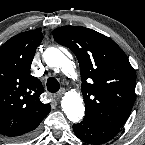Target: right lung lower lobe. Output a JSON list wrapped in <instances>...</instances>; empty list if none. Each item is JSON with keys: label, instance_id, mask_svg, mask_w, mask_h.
<instances>
[{"label": "right lung lower lobe", "instance_id": "98d812e1", "mask_svg": "<svg viewBox=\"0 0 145 145\" xmlns=\"http://www.w3.org/2000/svg\"><path fill=\"white\" fill-rule=\"evenodd\" d=\"M34 132H35V131L33 130L32 132L27 133V134H25V135H23V136H20V137H14V138L29 137V136H31Z\"/></svg>", "mask_w": 145, "mask_h": 145}]
</instances>
